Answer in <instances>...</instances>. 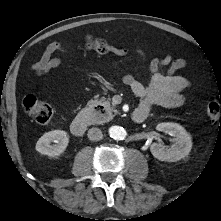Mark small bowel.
Here are the masks:
<instances>
[{
	"instance_id": "obj_1",
	"label": "small bowel",
	"mask_w": 221,
	"mask_h": 221,
	"mask_svg": "<svg viewBox=\"0 0 221 221\" xmlns=\"http://www.w3.org/2000/svg\"><path fill=\"white\" fill-rule=\"evenodd\" d=\"M65 50L58 42L50 43L40 59L33 64V71L37 75H43L49 70L59 67L62 60L53 56V54L57 51ZM112 53L123 57L127 56L129 52L125 48H113ZM139 53L144 56L142 51H139ZM186 64L184 59L173 60L170 55H166L163 58H153L150 62L148 85H144L132 75H125L123 82L140 98V104L137 109H143L148 113L155 105L164 107H179L183 105L185 101L184 92L190 87V83L187 79L175 73L183 69ZM163 68H167V70L164 72Z\"/></svg>"
}]
</instances>
